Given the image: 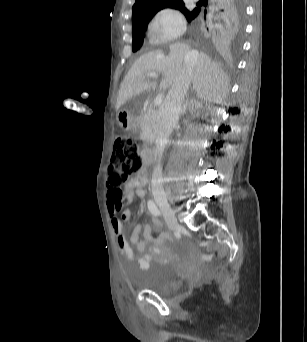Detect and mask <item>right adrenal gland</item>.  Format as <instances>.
Instances as JSON below:
<instances>
[{
  "mask_svg": "<svg viewBox=\"0 0 307 342\" xmlns=\"http://www.w3.org/2000/svg\"><path fill=\"white\" fill-rule=\"evenodd\" d=\"M192 106L193 108H201V104H199V102H196V100H192ZM186 110H187V106H184L182 110V114H185Z\"/></svg>",
  "mask_w": 307,
  "mask_h": 342,
  "instance_id": "right-adrenal-gland-1",
  "label": "right adrenal gland"
}]
</instances>
